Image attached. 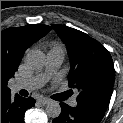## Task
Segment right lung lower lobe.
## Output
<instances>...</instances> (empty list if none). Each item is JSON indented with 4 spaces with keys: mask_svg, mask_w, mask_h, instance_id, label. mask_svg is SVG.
Returning a JSON list of instances; mask_svg holds the SVG:
<instances>
[{
    "mask_svg": "<svg viewBox=\"0 0 123 123\" xmlns=\"http://www.w3.org/2000/svg\"><path fill=\"white\" fill-rule=\"evenodd\" d=\"M35 99L11 95L1 98V123H24V114L35 104Z\"/></svg>",
    "mask_w": 123,
    "mask_h": 123,
    "instance_id": "98d812e1",
    "label": "right lung lower lobe"
}]
</instances>
